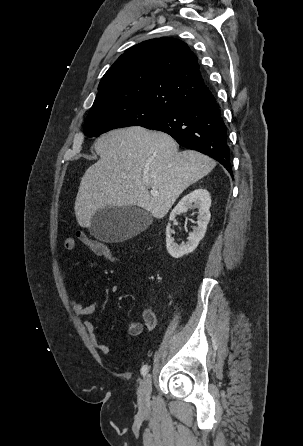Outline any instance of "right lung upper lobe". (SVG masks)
Returning a JSON list of instances; mask_svg holds the SVG:
<instances>
[{"label": "right lung upper lobe", "instance_id": "obj_1", "mask_svg": "<svg viewBox=\"0 0 303 446\" xmlns=\"http://www.w3.org/2000/svg\"><path fill=\"white\" fill-rule=\"evenodd\" d=\"M197 60L187 44L175 38L137 44L127 49L102 77L92 108L142 103L170 110L205 95L210 91Z\"/></svg>", "mask_w": 303, "mask_h": 446}]
</instances>
